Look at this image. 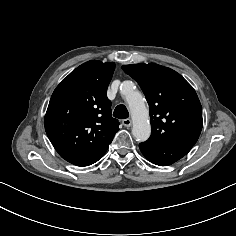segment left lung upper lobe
Wrapping results in <instances>:
<instances>
[{"instance_id":"5c2ea615","label":"left lung upper lobe","mask_w":236,"mask_h":236,"mask_svg":"<svg viewBox=\"0 0 236 236\" xmlns=\"http://www.w3.org/2000/svg\"><path fill=\"white\" fill-rule=\"evenodd\" d=\"M149 104L151 145L194 146L202 130V107L193 87L176 71L154 63L122 66Z\"/></svg>"}]
</instances>
